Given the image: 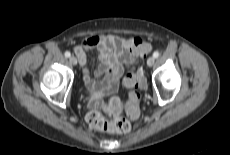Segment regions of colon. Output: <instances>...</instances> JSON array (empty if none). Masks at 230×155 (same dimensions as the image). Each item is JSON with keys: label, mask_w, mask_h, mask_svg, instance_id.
<instances>
[{"label": "colon", "mask_w": 230, "mask_h": 155, "mask_svg": "<svg viewBox=\"0 0 230 155\" xmlns=\"http://www.w3.org/2000/svg\"><path fill=\"white\" fill-rule=\"evenodd\" d=\"M151 50V46L143 42L139 38H133V43L129 47V52L134 55L146 54ZM127 80L131 83L133 90L129 94V99L126 105V113L131 119H137L141 112V93L140 88L143 85V78L139 73H128ZM113 112L120 109L121 103L118 98H112L108 104ZM87 123L93 129L99 131L127 133L131 130V123L119 116L113 119H107L100 111H92L87 115Z\"/></svg>", "instance_id": "5ec220e1"}]
</instances>
